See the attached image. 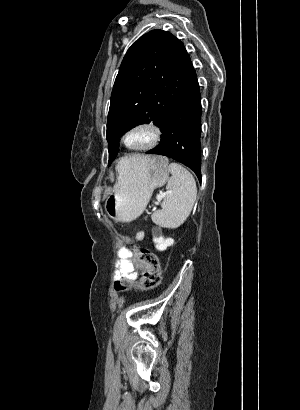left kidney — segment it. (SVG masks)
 <instances>
[{
  "instance_id": "5707ae66",
  "label": "left kidney",
  "mask_w": 300,
  "mask_h": 410,
  "mask_svg": "<svg viewBox=\"0 0 300 410\" xmlns=\"http://www.w3.org/2000/svg\"><path fill=\"white\" fill-rule=\"evenodd\" d=\"M153 241L155 243L156 249L159 251H164L167 249V247L174 244V240L172 238L165 239L162 236L161 231L158 230L153 231Z\"/></svg>"
}]
</instances>
